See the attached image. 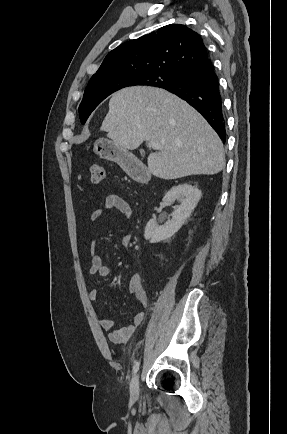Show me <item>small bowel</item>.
<instances>
[{
  "instance_id": "obj_1",
  "label": "small bowel",
  "mask_w": 287,
  "mask_h": 434,
  "mask_svg": "<svg viewBox=\"0 0 287 434\" xmlns=\"http://www.w3.org/2000/svg\"><path fill=\"white\" fill-rule=\"evenodd\" d=\"M109 210H117L121 213L127 220L132 218V209L130 205L121 197L117 195L107 196L103 206L97 208L91 215V220L93 222L101 219L104 214ZM131 233H126L121 239L122 246L125 251L131 243ZM90 259L91 266L89 268V274L92 276L109 277L112 274L111 269L106 266L101 256L94 252L93 241L90 244ZM129 292L132 297H134L141 304L142 310L135 314L133 321L130 325L115 329L114 323L109 318H102L99 320L100 327L108 333V339L114 343H126L131 336L136 332V330L145 321V310L147 308V295L142 285V279L139 273H133L129 282ZM98 299L97 290H91L89 292V300L91 302H96Z\"/></svg>"
}]
</instances>
